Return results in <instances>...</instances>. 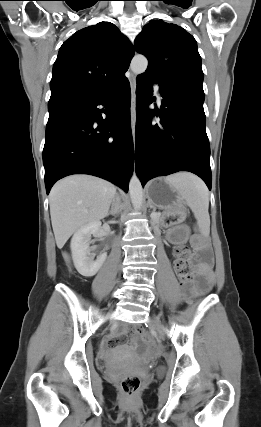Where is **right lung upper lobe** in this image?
Wrapping results in <instances>:
<instances>
[{
  "instance_id": "right-lung-upper-lobe-1",
  "label": "right lung upper lobe",
  "mask_w": 261,
  "mask_h": 427,
  "mask_svg": "<svg viewBox=\"0 0 261 427\" xmlns=\"http://www.w3.org/2000/svg\"><path fill=\"white\" fill-rule=\"evenodd\" d=\"M134 48L112 23L100 22L74 33L53 65L48 110L91 100L126 77Z\"/></svg>"
}]
</instances>
